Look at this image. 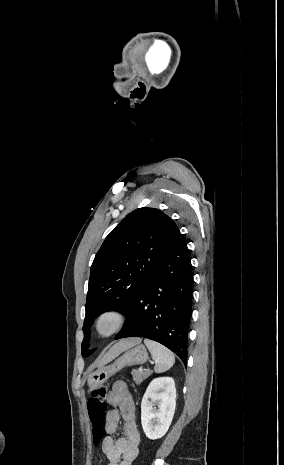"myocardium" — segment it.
<instances>
[{
	"label": "myocardium",
	"instance_id": "f54148a6",
	"mask_svg": "<svg viewBox=\"0 0 284 465\" xmlns=\"http://www.w3.org/2000/svg\"><path fill=\"white\" fill-rule=\"evenodd\" d=\"M125 315L116 309H108L97 315L94 321V333L101 339L116 335L124 326Z\"/></svg>",
	"mask_w": 284,
	"mask_h": 465
}]
</instances>
